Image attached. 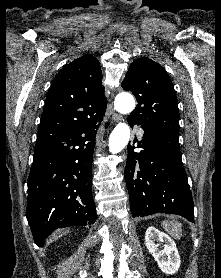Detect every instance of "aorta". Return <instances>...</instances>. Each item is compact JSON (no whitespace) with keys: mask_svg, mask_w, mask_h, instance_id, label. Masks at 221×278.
Listing matches in <instances>:
<instances>
[{"mask_svg":"<svg viewBox=\"0 0 221 278\" xmlns=\"http://www.w3.org/2000/svg\"><path fill=\"white\" fill-rule=\"evenodd\" d=\"M115 109L122 113H130L135 107V100L129 93H121L115 98ZM130 127L126 123H119L109 137V150L112 154L119 153L129 142Z\"/></svg>","mask_w":221,"mask_h":278,"instance_id":"1","label":"aorta"}]
</instances>
